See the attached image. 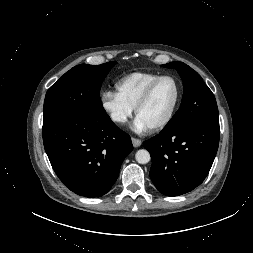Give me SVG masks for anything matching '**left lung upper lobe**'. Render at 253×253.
Listing matches in <instances>:
<instances>
[{
	"label": "left lung upper lobe",
	"mask_w": 253,
	"mask_h": 253,
	"mask_svg": "<svg viewBox=\"0 0 253 253\" xmlns=\"http://www.w3.org/2000/svg\"><path fill=\"white\" fill-rule=\"evenodd\" d=\"M163 67L178 71L183 80V98L179 110L162 130L173 131L194 123L219 124L218 107L212 91L201 76L182 62H170Z\"/></svg>",
	"instance_id": "5c2ea615"
}]
</instances>
